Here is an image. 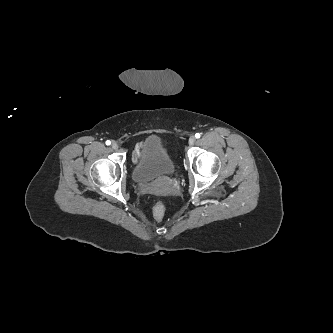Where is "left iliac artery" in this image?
Instances as JSON below:
<instances>
[{
	"label": "left iliac artery",
	"mask_w": 333,
	"mask_h": 333,
	"mask_svg": "<svg viewBox=\"0 0 333 333\" xmlns=\"http://www.w3.org/2000/svg\"><path fill=\"white\" fill-rule=\"evenodd\" d=\"M200 136H201L200 133H196V134H195V137H196L197 139L200 138Z\"/></svg>",
	"instance_id": "44dca946"
}]
</instances>
